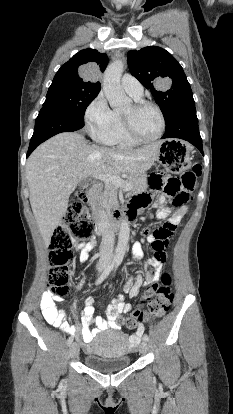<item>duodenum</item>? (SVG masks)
I'll return each mask as SVG.
<instances>
[{
  "mask_svg": "<svg viewBox=\"0 0 233 414\" xmlns=\"http://www.w3.org/2000/svg\"><path fill=\"white\" fill-rule=\"evenodd\" d=\"M92 200H94V199H92ZM92 200L91 199L89 200L88 196L83 197L82 198V203L83 204H88L89 201L91 202ZM134 216H135V213L133 211L119 210V211H116L113 214L112 219H113L114 225H119V224H122V223H129L134 218ZM95 222H96V220H95ZM96 229H97L98 233H103L99 230V227L97 225H96Z\"/></svg>",
  "mask_w": 233,
  "mask_h": 414,
  "instance_id": "duodenum-1",
  "label": "duodenum"
}]
</instances>
